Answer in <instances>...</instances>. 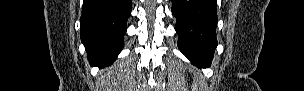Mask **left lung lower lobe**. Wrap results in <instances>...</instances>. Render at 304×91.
<instances>
[{
    "label": "left lung lower lobe",
    "instance_id": "obj_1",
    "mask_svg": "<svg viewBox=\"0 0 304 91\" xmlns=\"http://www.w3.org/2000/svg\"><path fill=\"white\" fill-rule=\"evenodd\" d=\"M180 51L197 67L211 64L217 46L216 0H171Z\"/></svg>",
    "mask_w": 304,
    "mask_h": 91
}]
</instances>
